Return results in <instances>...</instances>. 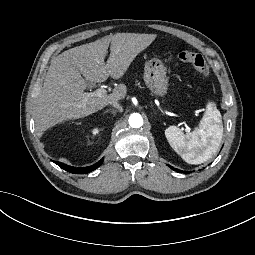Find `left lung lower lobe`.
Here are the masks:
<instances>
[{
    "mask_svg": "<svg viewBox=\"0 0 255 255\" xmlns=\"http://www.w3.org/2000/svg\"><path fill=\"white\" fill-rule=\"evenodd\" d=\"M173 170H175V171H177V172H180V173H189V172H187V171H181V170H179V169H176V168H174V167H171Z\"/></svg>",
    "mask_w": 255,
    "mask_h": 255,
    "instance_id": "0a47b994",
    "label": "left lung lower lobe"
}]
</instances>
